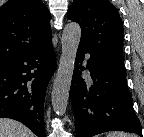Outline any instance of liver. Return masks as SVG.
I'll use <instances>...</instances> for the list:
<instances>
[{"mask_svg":"<svg viewBox=\"0 0 144 137\" xmlns=\"http://www.w3.org/2000/svg\"><path fill=\"white\" fill-rule=\"evenodd\" d=\"M0 137H34V134L16 120L0 118Z\"/></svg>","mask_w":144,"mask_h":137,"instance_id":"obj_1","label":"liver"}]
</instances>
